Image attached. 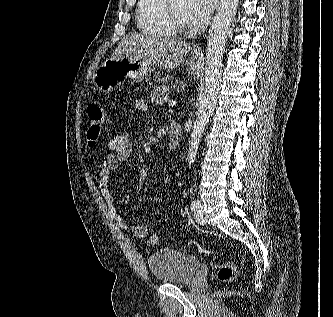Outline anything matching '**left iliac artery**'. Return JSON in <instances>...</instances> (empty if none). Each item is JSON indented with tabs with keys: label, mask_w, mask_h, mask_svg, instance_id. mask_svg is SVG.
Segmentation results:
<instances>
[{
	"label": "left iliac artery",
	"mask_w": 333,
	"mask_h": 317,
	"mask_svg": "<svg viewBox=\"0 0 333 317\" xmlns=\"http://www.w3.org/2000/svg\"><path fill=\"white\" fill-rule=\"evenodd\" d=\"M191 210L195 211L199 207V201L197 200H192L190 204Z\"/></svg>",
	"instance_id": "obj_1"
}]
</instances>
